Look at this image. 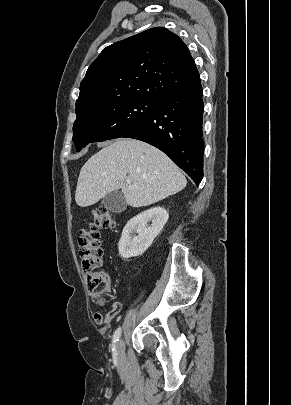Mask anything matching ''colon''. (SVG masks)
Returning <instances> with one entry per match:
<instances>
[{
    "mask_svg": "<svg viewBox=\"0 0 291 405\" xmlns=\"http://www.w3.org/2000/svg\"><path fill=\"white\" fill-rule=\"evenodd\" d=\"M113 216L104 208L93 213L92 219L80 231L78 245L81 267L85 275L87 289L96 299H102L111 290V277L108 271L99 269L102 264L100 229L112 228Z\"/></svg>",
    "mask_w": 291,
    "mask_h": 405,
    "instance_id": "5ec220e1",
    "label": "colon"
}]
</instances>
